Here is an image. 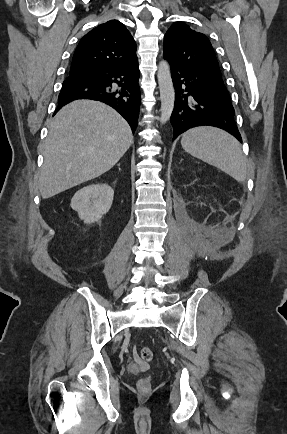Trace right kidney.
<instances>
[{"label": "right kidney", "instance_id": "obj_1", "mask_svg": "<svg viewBox=\"0 0 287 434\" xmlns=\"http://www.w3.org/2000/svg\"><path fill=\"white\" fill-rule=\"evenodd\" d=\"M113 197L114 190L108 184H92L74 194L71 207L84 223L90 224L99 221L109 211Z\"/></svg>", "mask_w": 287, "mask_h": 434}]
</instances>
